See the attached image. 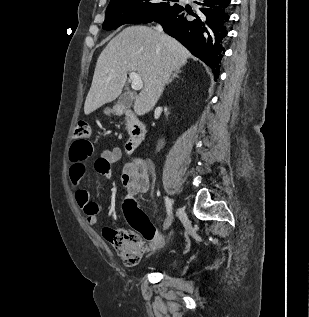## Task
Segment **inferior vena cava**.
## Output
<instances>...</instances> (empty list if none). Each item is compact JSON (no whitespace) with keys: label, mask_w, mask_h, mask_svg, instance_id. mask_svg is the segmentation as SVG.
<instances>
[{"label":"inferior vena cava","mask_w":309,"mask_h":317,"mask_svg":"<svg viewBox=\"0 0 309 317\" xmlns=\"http://www.w3.org/2000/svg\"><path fill=\"white\" fill-rule=\"evenodd\" d=\"M156 30L161 32L162 31V27L160 25H157Z\"/></svg>","instance_id":"inferior-vena-cava-1"}]
</instances>
